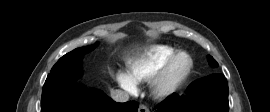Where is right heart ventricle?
<instances>
[{"label":"right heart ventricle","instance_id":"1","mask_svg":"<svg viewBox=\"0 0 270 112\" xmlns=\"http://www.w3.org/2000/svg\"><path fill=\"white\" fill-rule=\"evenodd\" d=\"M175 50L174 47L163 44L144 48L128 60V75L136 84L149 81L165 59Z\"/></svg>","mask_w":270,"mask_h":112}]
</instances>
